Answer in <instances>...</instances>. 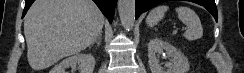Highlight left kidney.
I'll return each instance as SVG.
<instances>
[{"label": "left kidney", "instance_id": "obj_1", "mask_svg": "<svg viewBox=\"0 0 244 73\" xmlns=\"http://www.w3.org/2000/svg\"><path fill=\"white\" fill-rule=\"evenodd\" d=\"M163 51L171 57L165 67L161 66L157 57ZM148 59L152 73H188L190 67L187 57L180 50L158 38L150 40L148 44Z\"/></svg>", "mask_w": 244, "mask_h": 73}]
</instances>
